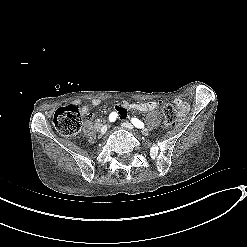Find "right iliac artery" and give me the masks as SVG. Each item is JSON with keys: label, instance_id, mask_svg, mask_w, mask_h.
<instances>
[{"label": "right iliac artery", "instance_id": "obj_1", "mask_svg": "<svg viewBox=\"0 0 247 247\" xmlns=\"http://www.w3.org/2000/svg\"><path fill=\"white\" fill-rule=\"evenodd\" d=\"M117 113L116 112H112L110 115H109V121L110 122H114L117 118Z\"/></svg>", "mask_w": 247, "mask_h": 247}]
</instances>
